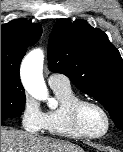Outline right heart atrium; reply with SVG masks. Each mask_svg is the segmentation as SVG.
Segmentation results:
<instances>
[{
	"mask_svg": "<svg viewBox=\"0 0 123 152\" xmlns=\"http://www.w3.org/2000/svg\"><path fill=\"white\" fill-rule=\"evenodd\" d=\"M21 122L25 130L39 132L44 129L45 113L39 104L31 97H26L21 109Z\"/></svg>",
	"mask_w": 123,
	"mask_h": 152,
	"instance_id": "obj_1",
	"label": "right heart atrium"
}]
</instances>
